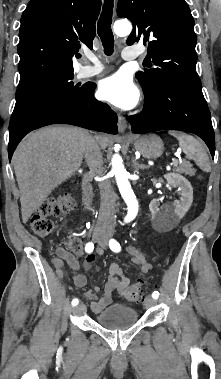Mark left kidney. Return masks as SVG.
<instances>
[{
	"label": "left kidney",
	"mask_w": 221,
	"mask_h": 379,
	"mask_svg": "<svg viewBox=\"0 0 221 379\" xmlns=\"http://www.w3.org/2000/svg\"><path fill=\"white\" fill-rule=\"evenodd\" d=\"M168 184L178 187L180 190V200L175 201L173 205H166L161 210L157 200H152L149 209L152 215L153 223L163 229L174 227L184 217L193 202V188L190 182L177 173H168L164 175Z\"/></svg>",
	"instance_id": "obj_1"
}]
</instances>
